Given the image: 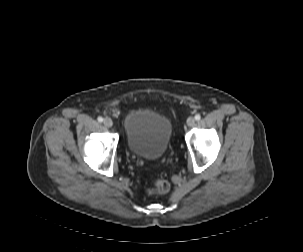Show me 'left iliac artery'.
Segmentation results:
<instances>
[{
	"mask_svg": "<svg viewBox=\"0 0 303 252\" xmlns=\"http://www.w3.org/2000/svg\"><path fill=\"white\" fill-rule=\"evenodd\" d=\"M195 119L198 121V120H200L201 119V115L200 114H196L195 115Z\"/></svg>",
	"mask_w": 303,
	"mask_h": 252,
	"instance_id": "obj_1",
	"label": "left iliac artery"
}]
</instances>
